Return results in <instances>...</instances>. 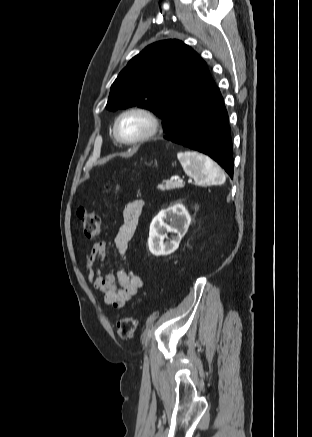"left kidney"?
<instances>
[{
  "label": "left kidney",
  "instance_id": "obj_1",
  "mask_svg": "<svg viewBox=\"0 0 312 437\" xmlns=\"http://www.w3.org/2000/svg\"><path fill=\"white\" fill-rule=\"evenodd\" d=\"M169 224H168V223ZM191 222L188 211L182 204L161 210L150 224L148 246L155 256L169 255L179 247ZM173 234L170 241H164L167 233Z\"/></svg>",
  "mask_w": 312,
  "mask_h": 437
}]
</instances>
